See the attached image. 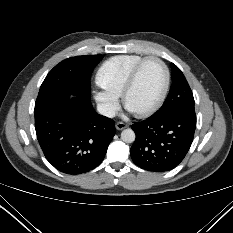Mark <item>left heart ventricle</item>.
Returning a JSON list of instances; mask_svg holds the SVG:
<instances>
[{
    "label": "left heart ventricle",
    "instance_id": "b2bd125f",
    "mask_svg": "<svg viewBox=\"0 0 233 233\" xmlns=\"http://www.w3.org/2000/svg\"><path fill=\"white\" fill-rule=\"evenodd\" d=\"M163 86L164 72L161 65L154 60L146 62L127 96V108L133 112L149 108L159 98Z\"/></svg>",
    "mask_w": 233,
    "mask_h": 233
}]
</instances>
